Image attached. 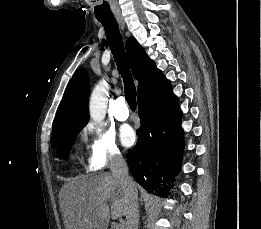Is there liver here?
Segmentation results:
<instances>
[{
	"label": "liver",
	"instance_id": "6515ba94",
	"mask_svg": "<svg viewBox=\"0 0 261 229\" xmlns=\"http://www.w3.org/2000/svg\"><path fill=\"white\" fill-rule=\"evenodd\" d=\"M65 189L66 229H107L110 217L127 215L129 199L111 173L75 177Z\"/></svg>",
	"mask_w": 261,
	"mask_h": 229
}]
</instances>
